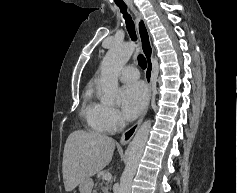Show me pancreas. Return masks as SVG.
<instances>
[{
  "instance_id": "1",
  "label": "pancreas",
  "mask_w": 237,
  "mask_h": 193,
  "mask_svg": "<svg viewBox=\"0 0 237 193\" xmlns=\"http://www.w3.org/2000/svg\"><path fill=\"white\" fill-rule=\"evenodd\" d=\"M98 186L102 190V193H110L109 192V189H110L109 183L104 182L103 179H102V182H100ZM94 193H97V191H95Z\"/></svg>"
}]
</instances>
